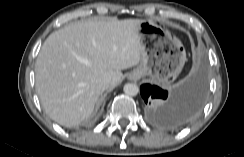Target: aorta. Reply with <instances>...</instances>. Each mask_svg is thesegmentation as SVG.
Returning a JSON list of instances; mask_svg holds the SVG:
<instances>
[{
	"label": "aorta",
	"mask_w": 244,
	"mask_h": 157,
	"mask_svg": "<svg viewBox=\"0 0 244 157\" xmlns=\"http://www.w3.org/2000/svg\"><path fill=\"white\" fill-rule=\"evenodd\" d=\"M123 90H124V93L129 96H135L139 92L138 86L134 83L125 84Z\"/></svg>",
	"instance_id": "1"
}]
</instances>
